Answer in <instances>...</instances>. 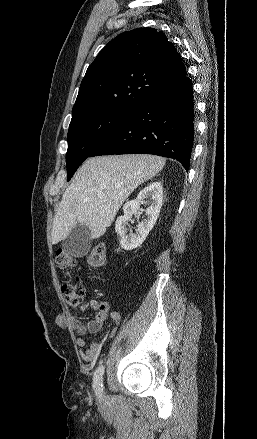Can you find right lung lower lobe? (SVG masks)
<instances>
[{
  "mask_svg": "<svg viewBox=\"0 0 257 439\" xmlns=\"http://www.w3.org/2000/svg\"><path fill=\"white\" fill-rule=\"evenodd\" d=\"M193 140V91L185 76L143 102L89 157L148 153L176 159L188 171Z\"/></svg>",
  "mask_w": 257,
  "mask_h": 439,
  "instance_id": "right-lung-lower-lobe-1",
  "label": "right lung lower lobe"
}]
</instances>
